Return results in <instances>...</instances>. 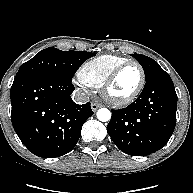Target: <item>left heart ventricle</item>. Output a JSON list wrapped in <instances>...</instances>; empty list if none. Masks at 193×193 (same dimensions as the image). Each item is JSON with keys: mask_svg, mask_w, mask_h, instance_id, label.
I'll use <instances>...</instances> for the list:
<instances>
[{"mask_svg": "<svg viewBox=\"0 0 193 193\" xmlns=\"http://www.w3.org/2000/svg\"><path fill=\"white\" fill-rule=\"evenodd\" d=\"M140 82V71L136 66L124 69L110 88V95L125 98L132 94Z\"/></svg>", "mask_w": 193, "mask_h": 193, "instance_id": "left-heart-ventricle-1", "label": "left heart ventricle"}]
</instances>
